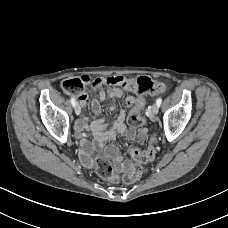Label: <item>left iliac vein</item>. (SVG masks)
Instances as JSON below:
<instances>
[{"instance_id": "left-iliac-vein-1", "label": "left iliac vein", "mask_w": 228, "mask_h": 228, "mask_svg": "<svg viewBox=\"0 0 228 228\" xmlns=\"http://www.w3.org/2000/svg\"><path fill=\"white\" fill-rule=\"evenodd\" d=\"M151 111L153 115H157L159 112V106L157 104H153Z\"/></svg>"}]
</instances>
